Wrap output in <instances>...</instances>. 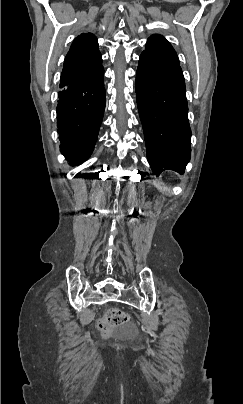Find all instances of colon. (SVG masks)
I'll use <instances>...</instances> for the list:
<instances>
[{
	"instance_id": "1",
	"label": "colon",
	"mask_w": 243,
	"mask_h": 404,
	"mask_svg": "<svg viewBox=\"0 0 243 404\" xmlns=\"http://www.w3.org/2000/svg\"><path fill=\"white\" fill-rule=\"evenodd\" d=\"M128 321V315L118 309L112 308L107 311L104 318L100 322V328L102 330H108L111 327H118L124 325Z\"/></svg>"
}]
</instances>
